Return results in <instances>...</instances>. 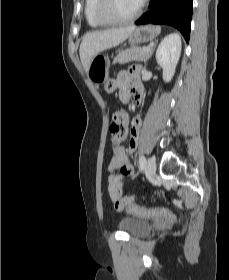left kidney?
<instances>
[{"label":"left kidney","mask_w":229,"mask_h":280,"mask_svg":"<svg viewBox=\"0 0 229 280\" xmlns=\"http://www.w3.org/2000/svg\"><path fill=\"white\" fill-rule=\"evenodd\" d=\"M181 38L177 33L167 35L156 51V61L163 69V80L170 82L181 55Z\"/></svg>","instance_id":"1"}]
</instances>
